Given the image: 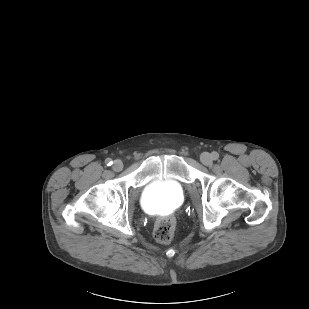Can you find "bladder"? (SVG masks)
Wrapping results in <instances>:
<instances>
[{
    "instance_id": "31cf9c89",
    "label": "bladder",
    "mask_w": 309,
    "mask_h": 309,
    "mask_svg": "<svg viewBox=\"0 0 309 309\" xmlns=\"http://www.w3.org/2000/svg\"><path fill=\"white\" fill-rule=\"evenodd\" d=\"M183 186L176 180H159L148 183L140 195L142 207L152 213L172 211L184 201Z\"/></svg>"
}]
</instances>
